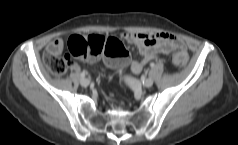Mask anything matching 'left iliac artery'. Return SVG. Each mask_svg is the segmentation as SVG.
<instances>
[{"label":"left iliac artery","mask_w":238,"mask_h":145,"mask_svg":"<svg viewBox=\"0 0 238 145\" xmlns=\"http://www.w3.org/2000/svg\"><path fill=\"white\" fill-rule=\"evenodd\" d=\"M150 66L153 68L155 65H154V63H151Z\"/></svg>","instance_id":"44dca946"}]
</instances>
